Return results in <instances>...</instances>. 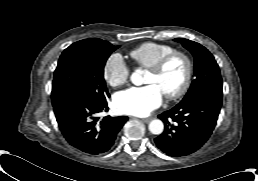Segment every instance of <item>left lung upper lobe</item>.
<instances>
[{
    "label": "left lung upper lobe",
    "mask_w": 258,
    "mask_h": 181,
    "mask_svg": "<svg viewBox=\"0 0 258 181\" xmlns=\"http://www.w3.org/2000/svg\"><path fill=\"white\" fill-rule=\"evenodd\" d=\"M194 56V75L188 93L180 103L190 102L204 94H222V78L213 55L202 45L184 38H176Z\"/></svg>",
    "instance_id": "1"
}]
</instances>
